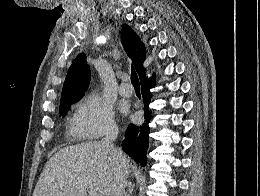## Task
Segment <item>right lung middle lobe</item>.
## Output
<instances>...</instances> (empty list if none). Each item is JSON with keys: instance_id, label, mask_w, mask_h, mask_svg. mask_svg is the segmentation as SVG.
Listing matches in <instances>:
<instances>
[{"instance_id": "obj_1", "label": "right lung middle lobe", "mask_w": 260, "mask_h": 196, "mask_svg": "<svg viewBox=\"0 0 260 196\" xmlns=\"http://www.w3.org/2000/svg\"><path fill=\"white\" fill-rule=\"evenodd\" d=\"M74 102H76V101H74ZM74 102L70 103L69 105H67L64 108H61L60 109V115H62L64 117L66 115V112L69 110L70 105L73 104Z\"/></svg>"}]
</instances>
